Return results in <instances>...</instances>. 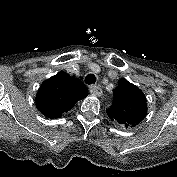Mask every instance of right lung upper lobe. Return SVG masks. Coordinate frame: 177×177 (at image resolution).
Segmentation results:
<instances>
[{
	"mask_svg": "<svg viewBox=\"0 0 177 177\" xmlns=\"http://www.w3.org/2000/svg\"><path fill=\"white\" fill-rule=\"evenodd\" d=\"M87 95L79 79L61 71L41 84L36 95V105L47 118H59Z\"/></svg>",
	"mask_w": 177,
	"mask_h": 177,
	"instance_id": "cb5924a9",
	"label": "right lung upper lobe"
}]
</instances>
